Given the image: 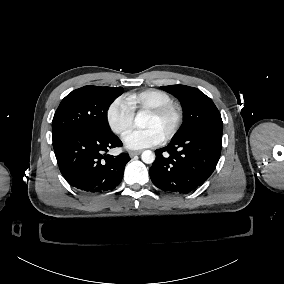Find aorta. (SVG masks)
<instances>
[{
    "mask_svg": "<svg viewBox=\"0 0 284 284\" xmlns=\"http://www.w3.org/2000/svg\"><path fill=\"white\" fill-rule=\"evenodd\" d=\"M135 124L138 127H145V115L137 114L135 118ZM141 159L146 164H152L155 160V154L150 150H145L142 155Z\"/></svg>",
    "mask_w": 284,
    "mask_h": 284,
    "instance_id": "1",
    "label": "aorta"
}]
</instances>
